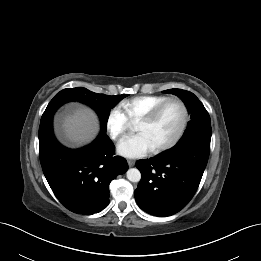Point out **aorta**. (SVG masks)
<instances>
[{"label": "aorta", "mask_w": 261, "mask_h": 261, "mask_svg": "<svg viewBox=\"0 0 261 261\" xmlns=\"http://www.w3.org/2000/svg\"><path fill=\"white\" fill-rule=\"evenodd\" d=\"M127 179L131 182H139L141 179V173L136 168H131L127 171Z\"/></svg>", "instance_id": "1"}]
</instances>
